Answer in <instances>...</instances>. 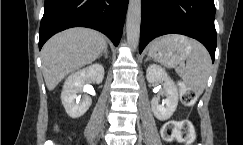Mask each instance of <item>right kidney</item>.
Returning <instances> with one entry per match:
<instances>
[{
  "mask_svg": "<svg viewBox=\"0 0 243 145\" xmlns=\"http://www.w3.org/2000/svg\"><path fill=\"white\" fill-rule=\"evenodd\" d=\"M104 78V68L101 64H93L78 70L67 77L61 92L62 104L71 118H79L89 109L92 100L85 95L80 102L78 93L85 89L86 81L101 83Z\"/></svg>",
  "mask_w": 243,
  "mask_h": 145,
  "instance_id": "1",
  "label": "right kidney"
}]
</instances>
